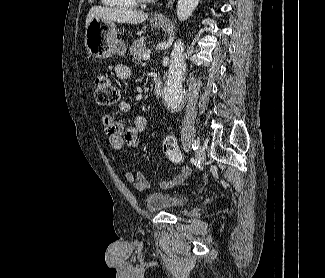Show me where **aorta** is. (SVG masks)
Instances as JSON below:
<instances>
[{"label": "aorta", "instance_id": "762f6f07", "mask_svg": "<svg viewBox=\"0 0 325 278\" xmlns=\"http://www.w3.org/2000/svg\"><path fill=\"white\" fill-rule=\"evenodd\" d=\"M200 0H178L177 16L180 21L187 20ZM186 71L182 42H177L171 52L167 81L164 86L165 103L168 108L177 109L183 99V76Z\"/></svg>", "mask_w": 325, "mask_h": 278}]
</instances>
